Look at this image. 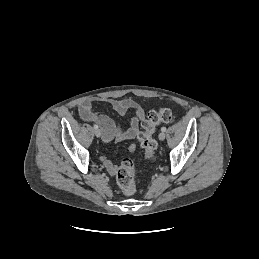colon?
Masks as SVG:
<instances>
[{
	"instance_id": "5ec220e1",
	"label": "colon",
	"mask_w": 259,
	"mask_h": 259,
	"mask_svg": "<svg viewBox=\"0 0 259 259\" xmlns=\"http://www.w3.org/2000/svg\"><path fill=\"white\" fill-rule=\"evenodd\" d=\"M174 114L169 108H160L151 111L142 121L143 130L138 134L140 145L144 149L145 157L149 161L156 159L157 142L154 138L156 128L161 123H170ZM136 165L131 159H124L116 168V182L125 195H132L136 190L135 185Z\"/></svg>"
}]
</instances>
